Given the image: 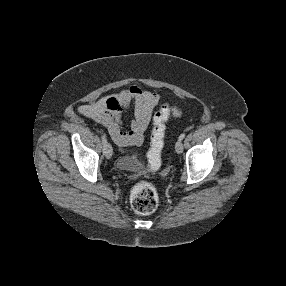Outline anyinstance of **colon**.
Returning <instances> with one entry per match:
<instances>
[{
    "label": "colon",
    "mask_w": 286,
    "mask_h": 286,
    "mask_svg": "<svg viewBox=\"0 0 286 286\" xmlns=\"http://www.w3.org/2000/svg\"><path fill=\"white\" fill-rule=\"evenodd\" d=\"M182 111L170 103H164L153 118L150 148L147 154L150 168L156 170L161 164V155L164 147L166 122L171 116H180ZM132 209L142 215L156 210L159 197L156 188L148 181H139L130 193Z\"/></svg>",
    "instance_id": "5ec220e1"
}]
</instances>
